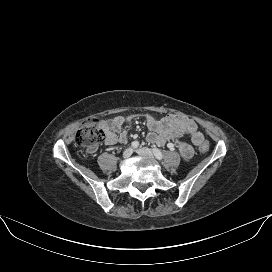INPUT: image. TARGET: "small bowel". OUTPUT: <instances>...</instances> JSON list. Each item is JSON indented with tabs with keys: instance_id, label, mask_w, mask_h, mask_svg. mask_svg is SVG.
Returning <instances> with one entry per match:
<instances>
[{
	"instance_id": "c3829d8e",
	"label": "small bowel",
	"mask_w": 272,
	"mask_h": 272,
	"mask_svg": "<svg viewBox=\"0 0 272 272\" xmlns=\"http://www.w3.org/2000/svg\"><path fill=\"white\" fill-rule=\"evenodd\" d=\"M136 115L127 117L115 116L111 119L101 120L100 126L105 133V144L113 146L117 143L125 144L127 142V132L122 129L125 124L131 123ZM148 128L150 130L147 140L150 143L164 146L170 140L176 141L177 148L185 159H190L193 154V147L187 141L181 140V137L188 135L192 143L196 146L204 141V135L199 131L197 124L187 117L171 114L162 119L147 114L144 115ZM98 145L95 144L87 150L91 153L95 152Z\"/></svg>"
}]
</instances>
